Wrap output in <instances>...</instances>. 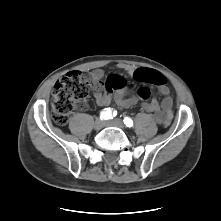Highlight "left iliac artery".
<instances>
[{
	"label": "left iliac artery",
	"instance_id": "obj_1",
	"mask_svg": "<svg viewBox=\"0 0 221 221\" xmlns=\"http://www.w3.org/2000/svg\"><path fill=\"white\" fill-rule=\"evenodd\" d=\"M123 121H124V124H125L127 127H132V126H133V121H132L130 118L125 117Z\"/></svg>",
	"mask_w": 221,
	"mask_h": 221
}]
</instances>
